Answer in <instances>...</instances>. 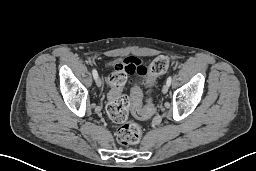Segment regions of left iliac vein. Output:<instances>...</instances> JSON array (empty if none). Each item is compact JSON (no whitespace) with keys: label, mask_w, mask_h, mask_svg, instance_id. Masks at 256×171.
Returning a JSON list of instances; mask_svg holds the SVG:
<instances>
[{"label":"left iliac vein","mask_w":256,"mask_h":171,"mask_svg":"<svg viewBox=\"0 0 256 171\" xmlns=\"http://www.w3.org/2000/svg\"><path fill=\"white\" fill-rule=\"evenodd\" d=\"M168 90H169V86H168V84H165V85L163 86V88H162V92H163L164 94H166V93L168 92Z\"/></svg>","instance_id":"obj_1"}]
</instances>
